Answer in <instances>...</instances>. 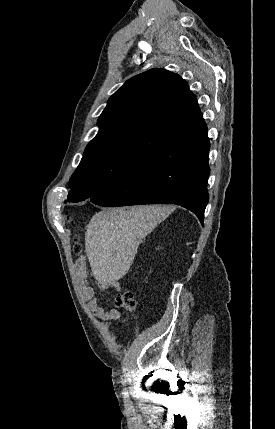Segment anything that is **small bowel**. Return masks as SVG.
<instances>
[{
    "label": "small bowel",
    "mask_w": 275,
    "mask_h": 429,
    "mask_svg": "<svg viewBox=\"0 0 275 429\" xmlns=\"http://www.w3.org/2000/svg\"><path fill=\"white\" fill-rule=\"evenodd\" d=\"M76 279L78 285V291L81 299L86 302L88 309L93 313V315L104 321H108L116 318L119 315L117 309L105 310L102 306L99 305L97 298L95 297L94 290L90 287L86 280L87 268L84 261H79L76 264ZM103 288L114 287L119 289V285L116 283L112 284H102Z\"/></svg>",
    "instance_id": "obj_1"
}]
</instances>
